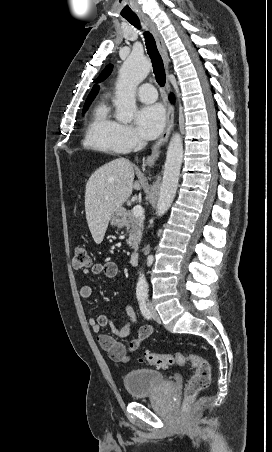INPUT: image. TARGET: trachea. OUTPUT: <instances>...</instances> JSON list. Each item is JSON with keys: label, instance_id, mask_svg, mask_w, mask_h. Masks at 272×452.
<instances>
[{"label": "trachea", "instance_id": "obj_1", "mask_svg": "<svg viewBox=\"0 0 272 452\" xmlns=\"http://www.w3.org/2000/svg\"><path fill=\"white\" fill-rule=\"evenodd\" d=\"M125 19L137 29H141L140 20L136 15L125 17ZM143 34L146 42L147 52L152 62L156 81L160 86H164L166 81V74L164 70L163 61L158 52L154 37L149 31H144Z\"/></svg>", "mask_w": 272, "mask_h": 452}]
</instances>
